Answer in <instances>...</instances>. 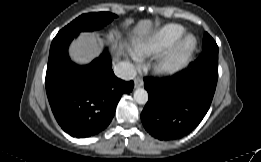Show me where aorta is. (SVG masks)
Returning <instances> with one entry per match:
<instances>
[{
	"instance_id": "obj_1",
	"label": "aorta",
	"mask_w": 261,
	"mask_h": 162,
	"mask_svg": "<svg viewBox=\"0 0 261 162\" xmlns=\"http://www.w3.org/2000/svg\"><path fill=\"white\" fill-rule=\"evenodd\" d=\"M134 99L138 104H146L148 101V93L143 88H138L134 92Z\"/></svg>"
}]
</instances>
